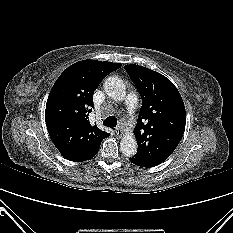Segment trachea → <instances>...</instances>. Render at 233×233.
Listing matches in <instances>:
<instances>
[{
  "instance_id": "trachea-1",
  "label": "trachea",
  "mask_w": 233,
  "mask_h": 233,
  "mask_svg": "<svg viewBox=\"0 0 233 233\" xmlns=\"http://www.w3.org/2000/svg\"><path fill=\"white\" fill-rule=\"evenodd\" d=\"M103 124L108 127L114 128L117 125V119L114 116H109L104 120Z\"/></svg>"
}]
</instances>
